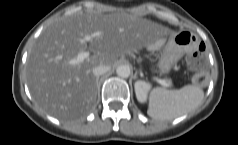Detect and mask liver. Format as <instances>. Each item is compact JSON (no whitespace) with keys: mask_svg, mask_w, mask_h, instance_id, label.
<instances>
[{"mask_svg":"<svg viewBox=\"0 0 238 145\" xmlns=\"http://www.w3.org/2000/svg\"><path fill=\"white\" fill-rule=\"evenodd\" d=\"M168 32L157 23L127 13L78 11L60 17L43 30L28 55L26 77L31 96L57 119L84 116L97 97L93 68L112 67L119 57L147 47ZM86 36L92 38L86 41ZM87 49L92 56L68 64Z\"/></svg>","mask_w":238,"mask_h":145,"instance_id":"obj_1","label":"liver"}]
</instances>
